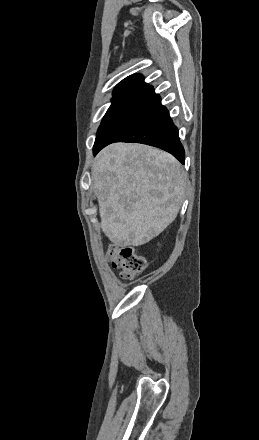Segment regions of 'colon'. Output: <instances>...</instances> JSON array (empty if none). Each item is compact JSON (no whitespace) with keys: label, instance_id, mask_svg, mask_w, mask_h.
I'll use <instances>...</instances> for the list:
<instances>
[{"label":"colon","instance_id":"1","mask_svg":"<svg viewBox=\"0 0 259 440\" xmlns=\"http://www.w3.org/2000/svg\"><path fill=\"white\" fill-rule=\"evenodd\" d=\"M107 259L116 268L121 269L125 279H132L146 268V259L138 255L129 245H112L107 251Z\"/></svg>","mask_w":259,"mask_h":440}]
</instances>
